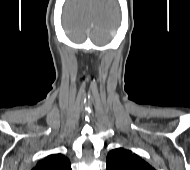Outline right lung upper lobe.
Returning a JSON list of instances; mask_svg holds the SVG:
<instances>
[{
	"instance_id": "1",
	"label": "right lung upper lobe",
	"mask_w": 190,
	"mask_h": 170,
	"mask_svg": "<svg viewBox=\"0 0 190 170\" xmlns=\"http://www.w3.org/2000/svg\"><path fill=\"white\" fill-rule=\"evenodd\" d=\"M32 170H71V164L64 155L52 154L39 161Z\"/></svg>"
}]
</instances>
